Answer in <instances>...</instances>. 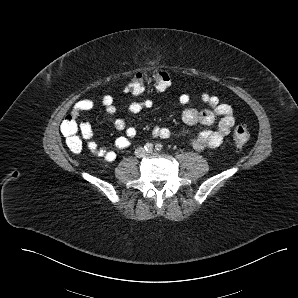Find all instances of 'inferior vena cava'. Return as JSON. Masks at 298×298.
Wrapping results in <instances>:
<instances>
[{"label":"inferior vena cava","instance_id":"602c4592","mask_svg":"<svg viewBox=\"0 0 298 298\" xmlns=\"http://www.w3.org/2000/svg\"><path fill=\"white\" fill-rule=\"evenodd\" d=\"M147 153H148V151H146L144 147H138L135 150L136 157H140V158L145 157L147 155Z\"/></svg>","mask_w":298,"mask_h":298}]
</instances>
